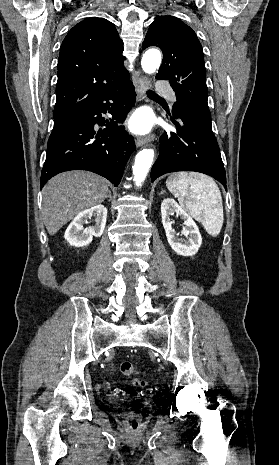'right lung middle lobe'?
I'll list each match as a JSON object with an SVG mask.
<instances>
[{
    "instance_id": "obj_1",
    "label": "right lung middle lobe",
    "mask_w": 279,
    "mask_h": 465,
    "mask_svg": "<svg viewBox=\"0 0 279 465\" xmlns=\"http://www.w3.org/2000/svg\"><path fill=\"white\" fill-rule=\"evenodd\" d=\"M67 126L68 122L60 125H54L52 133L48 140V146L51 145L57 139V137L66 129Z\"/></svg>"
}]
</instances>
